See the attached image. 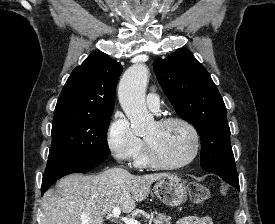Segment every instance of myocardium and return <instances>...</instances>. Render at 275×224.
Segmentation results:
<instances>
[{
	"instance_id": "obj_1",
	"label": "myocardium",
	"mask_w": 275,
	"mask_h": 224,
	"mask_svg": "<svg viewBox=\"0 0 275 224\" xmlns=\"http://www.w3.org/2000/svg\"><path fill=\"white\" fill-rule=\"evenodd\" d=\"M177 122L183 124L191 133L192 138H193V151L191 156L185 160L182 163L178 164H168L160 160L157 155L155 154L153 148L149 144V142L145 139V157L149 165L159 168V169H164V170H177V169H182L184 167L189 166L192 164L195 159L198 157L199 150H200V136L197 128L194 126L192 122L187 120L184 117L181 116H165L156 122L159 126H165L167 124Z\"/></svg>"
}]
</instances>
